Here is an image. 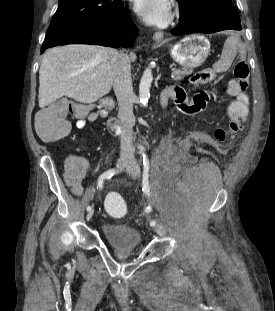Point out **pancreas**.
I'll return each mask as SVG.
<instances>
[{"label": "pancreas", "mask_w": 275, "mask_h": 311, "mask_svg": "<svg viewBox=\"0 0 275 311\" xmlns=\"http://www.w3.org/2000/svg\"><path fill=\"white\" fill-rule=\"evenodd\" d=\"M191 73H192V70L183 69V70H177L176 72L172 73V76L174 80H179L183 78L184 76L189 75Z\"/></svg>", "instance_id": "1"}]
</instances>
